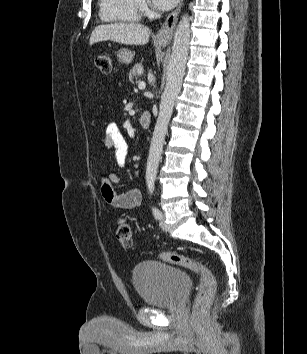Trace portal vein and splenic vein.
Masks as SVG:
<instances>
[{"instance_id":"portal-vein-and-splenic-vein-1","label":"portal vein and splenic vein","mask_w":307,"mask_h":354,"mask_svg":"<svg viewBox=\"0 0 307 354\" xmlns=\"http://www.w3.org/2000/svg\"><path fill=\"white\" fill-rule=\"evenodd\" d=\"M145 87H146V84L144 81L139 82V84H138L139 89H144Z\"/></svg>"}]
</instances>
